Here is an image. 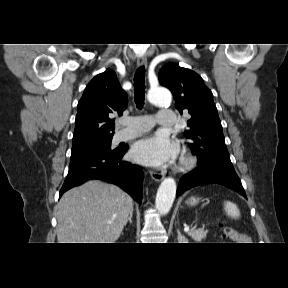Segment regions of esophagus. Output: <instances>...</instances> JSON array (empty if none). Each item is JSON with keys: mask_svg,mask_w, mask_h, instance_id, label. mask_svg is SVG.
Wrapping results in <instances>:
<instances>
[{"mask_svg": "<svg viewBox=\"0 0 288 288\" xmlns=\"http://www.w3.org/2000/svg\"><path fill=\"white\" fill-rule=\"evenodd\" d=\"M146 64H147V58L145 56H140L137 59L138 67L146 66ZM150 175L152 179H154L156 182H160L164 178V174L156 172V171H151Z\"/></svg>", "mask_w": 288, "mask_h": 288, "instance_id": "obj_1", "label": "esophagus"}]
</instances>
